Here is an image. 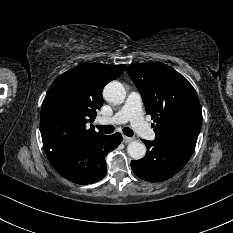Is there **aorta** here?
I'll use <instances>...</instances> for the list:
<instances>
[{"instance_id": "762f6f07", "label": "aorta", "mask_w": 233, "mask_h": 233, "mask_svg": "<svg viewBox=\"0 0 233 233\" xmlns=\"http://www.w3.org/2000/svg\"><path fill=\"white\" fill-rule=\"evenodd\" d=\"M104 99L110 103L121 104L126 97L124 86L118 81L109 82L103 90ZM129 156L135 160L142 159L146 154V146L139 141H132L127 146Z\"/></svg>"}]
</instances>
